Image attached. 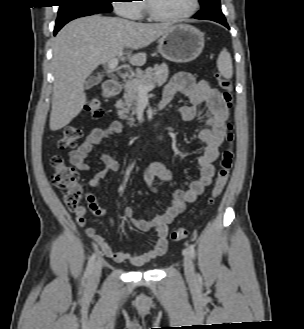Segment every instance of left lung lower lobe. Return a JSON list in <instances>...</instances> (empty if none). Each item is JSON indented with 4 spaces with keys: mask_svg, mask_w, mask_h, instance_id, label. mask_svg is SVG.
Returning <instances> with one entry per match:
<instances>
[{
    "mask_svg": "<svg viewBox=\"0 0 304 329\" xmlns=\"http://www.w3.org/2000/svg\"><path fill=\"white\" fill-rule=\"evenodd\" d=\"M195 18L212 20L230 29L221 11L220 0H209L207 3H205L202 6L201 10L195 15Z\"/></svg>",
    "mask_w": 304,
    "mask_h": 329,
    "instance_id": "1",
    "label": "left lung lower lobe"
}]
</instances>
